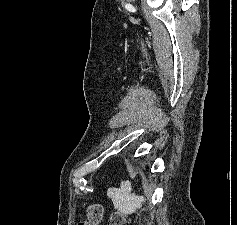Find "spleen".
Returning a JSON list of instances; mask_svg holds the SVG:
<instances>
[{
	"label": "spleen",
	"instance_id": "3e777b00",
	"mask_svg": "<svg viewBox=\"0 0 237 225\" xmlns=\"http://www.w3.org/2000/svg\"><path fill=\"white\" fill-rule=\"evenodd\" d=\"M131 183L129 181L121 182L120 188H109L108 197L112 199L116 210L124 215L133 214L137 209L142 207L143 197L131 193Z\"/></svg>",
	"mask_w": 237,
	"mask_h": 225
}]
</instances>
